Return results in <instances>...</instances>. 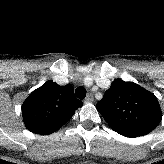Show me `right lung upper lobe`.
<instances>
[{"instance_id": "right-lung-upper-lobe-1", "label": "right lung upper lobe", "mask_w": 164, "mask_h": 164, "mask_svg": "<svg viewBox=\"0 0 164 164\" xmlns=\"http://www.w3.org/2000/svg\"><path fill=\"white\" fill-rule=\"evenodd\" d=\"M82 105L70 84L59 86L49 80L24 101L22 115L29 131L48 135L66 124Z\"/></svg>"}]
</instances>
